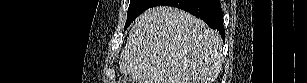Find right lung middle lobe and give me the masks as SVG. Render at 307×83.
Returning a JSON list of instances; mask_svg holds the SVG:
<instances>
[{"mask_svg":"<svg viewBox=\"0 0 307 83\" xmlns=\"http://www.w3.org/2000/svg\"><path fill=\"white\" fill-rule=\"evenodd\" d=\"M153 0H131L129 9L127 22L125 25V29L130 25V23L138 17L143 11L151 7Z\"/></svg>","mask_w":307,"mask_h":83,"instance_id":"dd1d6c3e","label":"right lung middle lobe"}]
</instances>
